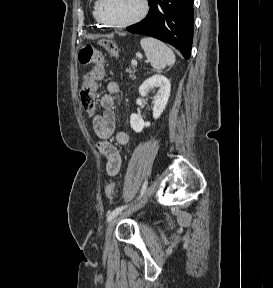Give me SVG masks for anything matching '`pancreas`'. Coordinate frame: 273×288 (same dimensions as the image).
<instances>
[{"label": "pancreas", "mask_w": 273, "mask_h": 288, "mask_svg": "<svg viewBox=\"0 0 273 288\" xmlns=\"http://www.w3.org/2000/svg\"><path fill=\"white\" fill-rule=\"evenodd\" d=\"M136 71H137V70H136L135 67H132V68H129V69L126 70V72L130 74V77H131L132 79L135 78V73H136Z\"/></svg>", "instance_id": "pancreas-1"}]
</instances>
